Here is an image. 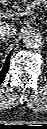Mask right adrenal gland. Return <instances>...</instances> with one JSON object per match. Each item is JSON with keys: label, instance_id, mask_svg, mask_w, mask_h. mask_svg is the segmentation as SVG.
<instances>
[{"label": "right adrenal gland", "instance_id": "1", "mask_svg": "<svg viewBox=\"0 0 47 129\" xmlns=\"http://www.w3.org/2000/svg\"><path fill=\"white\" fill-rule=\"evenodd\" d=\"M5 41H6V40H4V39L1 40V41H0V45L3 44Z\"/></svg>", "mask_w": 47, "mask_h": 129}]
</instances>
